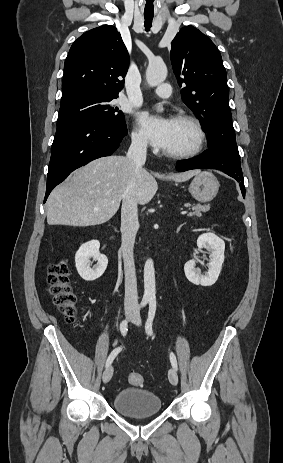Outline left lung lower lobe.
I'll list each match as a JSON object with an SVG mask.
<instances>
[{
    "instance_id": "1",
    "label": "left lung lower lobe",
    "mask_w": 283,
    "mask_h": 463,
    "mask_svg": "<svg viewBox=\"0 0 283 463\" xmlns=\"http://www.w3.org/2000/svg\"><path fill=\"white\" fill-rule=\"evenodd\" d=\"M203 168L218 169L235 178L240 182L242 195L245 197L240 156L219 147H210L202 155L190 160L178 161L176 164V170L180 172Z\"/></svg>"
}]
</instances>
